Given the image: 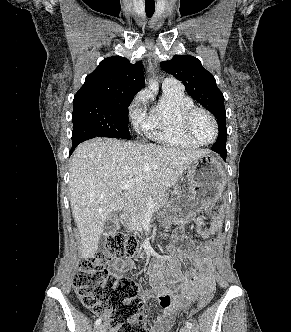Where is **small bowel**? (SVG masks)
Returning a JSON list of instances; mask_svg holds the SVG:
<instances>
[{
  "label": "small bowel",
  "instance_id": "c3829d8e",
  "mask_svg": "<svg viewBox=\"0 0 291 332\" xmlns=\"http://www.w3.org/2000/svg\"><path fill=\"white\" fill-rule=\"evenodd\" d=\"M175 222L178 227L174 230L173 244L168 248V255H158L150 246H146L152 260L147 269L150 289L143 293V298L157 299L162 308V313L155 318L150 332H168L173 324L175 310L186 307L201 293L214 287L213 270L207 256L213 241L192 248L185 234L184 223L180 219ZM195 224L198 235L206 237V230L202 228L203 219H197ZM209 229L212 234L217 233L220 223L213 222ZM176 258L195 261L198 273L192 275L184 271ZM113 267L123 274L130 271L133 265L129 261H122L116 262Z\"/></svg>",
  "mask_w": 291,
  "mask_h": 332
}]
</instances>
